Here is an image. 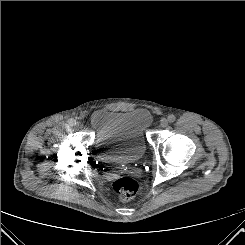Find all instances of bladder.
Here are the masks:
<instances>
[{"instance_id":"1","label":"bladder","mask_w":245,"mask_h":245,"mask_svg":"<svg viewBox=\"0 0 245 245\" xmlns=\"http://www.w3.org/2000/svg\"><path fill=\"white\" fill-rule=\"evenodd\" d=\"M152 115L146 108L100 109L90 116L95 145L105 164L120 165L139 160L147 148Z\"/></svg>"}]
</instances>
